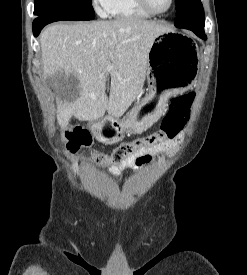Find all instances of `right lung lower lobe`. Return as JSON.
I'll return each instance as SVG.
<instances>
[{"instance_id":"1","label":"right lung lower lobe","mask_w":247,"mask_h":275,"mask_svg":"<svg viewBox=\"0 0 247 275\" xmlns=\"http://www.w3.org/2000/svg\"><path fill=\"white\" fill-rule=\"evenodd\" d=\"M55 21H60L59 18L56 17H40L38 19H35L33 21V34L35 37H37L40 33V31L42 30V28L51 23V22H55Z\"/></svg>"}]
</instances>
